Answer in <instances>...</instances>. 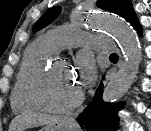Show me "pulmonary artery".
Returning a JSON list of instances; mask_svg holds the SVG:
<instances>
[{
	"label": "pulmonary artery",
	"mask_w": 151,
	"mask_h": 131,
	"mask_svg": "<svg viewBox=\"0 0 151 131\" xmlns=\"http://www.w3.org/2000/svg\"><path fill=\"white\" fill-rule=\"evenodd\" d=\"M44 38L56 51L74 46H85L91 49L110 51V39L102 35H92L75 28L61 27L49 30Z\"/></svg>",
	"instance_id": "e3ab8cb5"
}]
</instances>
